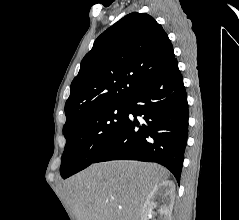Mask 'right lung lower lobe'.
<instances>
[{
  "label": "right lung lower lobe",
  "mask_w": 239,
  "mask_h": 220,
  "mask_svg": "<svg viewBox=\"0 0 239 220\" xmlns=\"http://www.w3.org/2000/svg\"><path fill=\"white\" fill-rule=\"evenodd\" d=\"M125 105V122L94 163L117 159L156 162L168 168L179 183L187 143L188 104L177 60L129 97Z\"/></svg>",
  "instance_id": "obj_1"
}]
</instances>
